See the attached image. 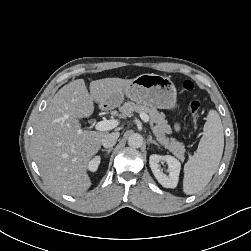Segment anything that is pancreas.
I'll return each instance as SVG.
<instances>
[{"instance_id": "1", "label": "pancreas", "mask_w": 251, "mask_h": 251, "mask_svg": "<svg viewBox=\"0 0 251 251\" xmlns=\"http://www.w3.org/2000/svg\"><path fill=\"white\" fill-rule=\"evenodd\" d=\"M119 111L121 112L120 116L122 118L130 116L133 112L149 114L150 126L159 143L172 152L181 161L185 159V146L175 138H168L166 136V134H171L172 130L167 124L163 113H159L155 108H149L148 106L135 104L130 101L125 102L120 107Z\"/></svg>"}]
</instances>
